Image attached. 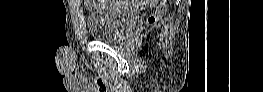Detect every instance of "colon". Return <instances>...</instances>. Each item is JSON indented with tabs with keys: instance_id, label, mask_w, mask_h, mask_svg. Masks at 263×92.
<instances>
[{
	"instance_id": "1",
	"label": "colon",
	"mask_w": 263,
	"mask_h": 92,
	"mask_svg": "<svg viewBox=\"0 0 263 92\" xmlns=\"http://www.w3.org/2000/svg\"><path fill=\"white\" fill-rule=\"evenodd\" d=\"M104 1H99L97 4L98 5H103ZM146 3H153V4H157L156 10L154 11V13L148 18V23L149 24H153L155 23L158 18L166 11V1L162 0V1H157V0H146L144 1Z\"/></svg>"
}]
</instances>
